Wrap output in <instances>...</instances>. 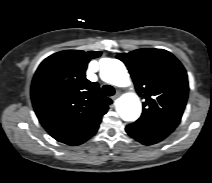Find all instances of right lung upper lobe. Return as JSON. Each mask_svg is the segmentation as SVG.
I'll use <instances>...</instances> for the list:
<instances>
[{
  "mask_svg": "<svg viewBox=\"0 0 212 183\" xmlns=\"http://www.w3.org/2000/svg\"><path fill=\"white\" fill-rule=\"evenodd\" d=\"M101 52L65 50L46 58L38 67L31 86L36 115L56 140L79 145L98 130L111 99L97 82L85 78L88 62Z\"/></svg>",
  "mask_w": 212,
  "mask_h": 183,
  "instance_id": "right-lung-upper-lobe-1",
  "label": "right lung upper lobe"
}]
</instances>
